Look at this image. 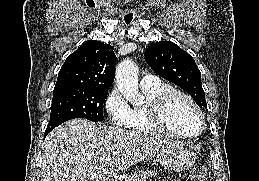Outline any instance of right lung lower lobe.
<instances>
[{"mask_svg":"<svg viewBox=\"0 0 259 181\" xmlns=\"http://www.w3.org/2000/svg\"><path fill=\"white\" fill-rule=\"evenodd\" d=\"M50 131H45V136L49 133Z\"/></svg>","mask_w":259,"mask_h":181,"instance_id":"obj_1","label":"right lung lower lobe"}]
</instances>
